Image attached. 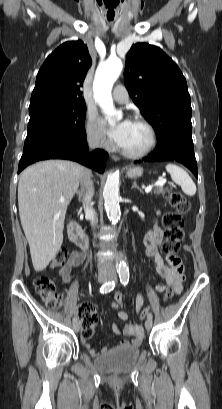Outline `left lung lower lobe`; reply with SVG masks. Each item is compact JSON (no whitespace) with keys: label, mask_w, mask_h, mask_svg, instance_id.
I'll return each instance as SVG.
<instances>
[{"label":"left lung lower lobe","mask_w":222,"mask_h":409,"mask_svg":"<svg viewBox=\"0 0 222 409\" xmlns=\"http://www.w3.org/2000/svg\"><path fill=\"white\" fill-rule=\"evenodd\" d=\"M158 141L154 152L144 158L145 161H177L184 164L197 177V162L191 135L172 133Z\"/></svg>","instance_id":"obj_1"}]
</instances>
